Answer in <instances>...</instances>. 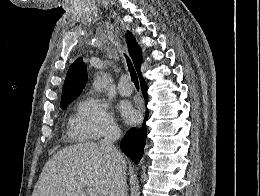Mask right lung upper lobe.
I'll list each match as a JSON object with an SVG mask.
<instances>
[{
  "mask_svg": "<svg viewBox=\"0 0 260 196\" xmlns=\"http://www.w3.org/2000/svg\"><path fill=\"white\" fill-rule=\"evenodd\" d=\"M129 55L132 58L133 64L141 77L140 67L142 63V51L138 46L135 38L130 32L126 34ZM87 82L86 65L81 58H78L69 68L63 90L60 107L67 106L82 92L85 83Z\"/></svg>",
  "mask_w": 260,
  "mask_h": 196,
  "instance_id": "right-lung-upper-lobe-1",
  "label": "right lung upper lobe"
}]
</instances>
